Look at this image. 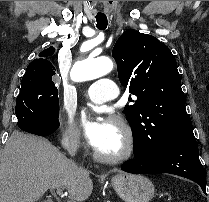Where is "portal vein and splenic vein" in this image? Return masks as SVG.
<instances>
[{"instance_id": "obj_1", "label": "portal vein and splenic vein", "mask_w": 209, "mask_h": 202, "mask_svg": "<svg viewBox=\"0 0 209 202\" xmlns=\"http://www.w3.org/2000/svg\"><path fill=\"white\" fill-rule=\"evenodd\" d=\"M56 193H57L58 195L62 196V195H63L62 188H61V187H57V188H56Z\"/></svg>"}]
</instances>
